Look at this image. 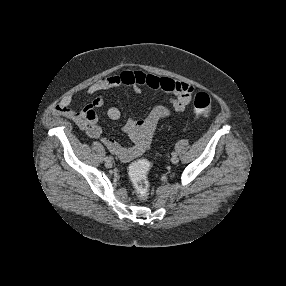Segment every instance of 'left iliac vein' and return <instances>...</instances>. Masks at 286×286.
Masks as SVG:
<instances>
[{
  "label": "left iliac vein",
  "instance_id": "1",
  "mask_svg": "<svg viewBox=\"0 0 286 286\" xmlns=\"http://www.w3.org/2000/svg\"><path fill=\"white\" fill-rule=\"evenodd\" d=\"M171 162H172L173 164H177V163L179 162V158H178L177 156H173V157L171 158Z\"/></svg>",
  "mask_w": 286,
  "mask_h": 286
}]
</instances>
